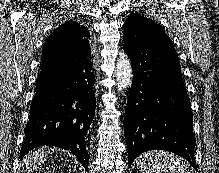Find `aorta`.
Wrapping results in <instances>:
<instances>
[{
  "instance_id": "762f6f07",
  "label": "aorta",
  "mask_w": 219,
  "mask_h": 173,
  "mask_svg": "<svg viewBox=\"0 0 219 173\" xmlns=\"http://www.w3.org/2000/svg\"><path fill=\"white\" fill-rule=\"evenodd\" d=\"M133 78L130 59L126 54H121L116 63V83L118 91L122 92L131 86Z\"/></svg>"
}]
</instances>
